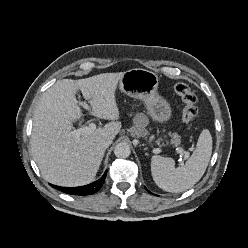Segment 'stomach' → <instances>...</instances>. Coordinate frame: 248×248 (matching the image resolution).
<instances>
[{
	"mask_svg": "<svg viewBox=\"0 0 248 248\" xmlns=\"http://www.w3.org/2000/svg\"><path fill=\"white\" fill-rule=\"evenodd\" d=\"M158 84L159 79L156 73L142 68L124 72L119 81V87L123 93L142 100L151 118L163 123L171 118L172 110L169 102L159 95ZM160 141H166V136L163 135Z\"/></svg>",
	"mask_w": 248,
	"mask_h": 248,
	"instance_id": "1",
	"label": "stomach"
}]
</instances>
